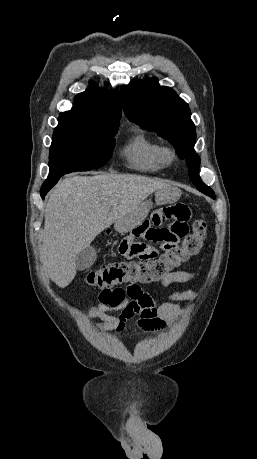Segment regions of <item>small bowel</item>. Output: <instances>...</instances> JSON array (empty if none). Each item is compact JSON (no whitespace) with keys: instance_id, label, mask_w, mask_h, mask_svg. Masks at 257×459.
<instances>
[{"instance_id":"c3829d8e","label":"small bowel","mask_w":257,"mask_h":459,"mask_svg":"<svg viewBox=\"0 0 257 459\" xmlns=\"http://www.w3.org/2000/svg\"><path fill=\"white\" fill-rule=\"evenodd\" d=\"M192 219L191 206L184 200H174L172 205H153L145 223H136L125 239H118L116 256L119 264H145L157 261L159 251H180L186 236H195V227H188ZM196 277L195 271H172L159 279L166 297L171 300L157 305L155 300L136 283L125 289L111 287L99 294V303L91 306L87 314L100 320L92 327L99 331L120 334L128 321L137 316L133 325L144 331L162 330L175 323L185 312L178 301L195 298V290L173 291L175 283H187ZM111 312H118L112 315Z\"/></svg>"}]
</instances>
